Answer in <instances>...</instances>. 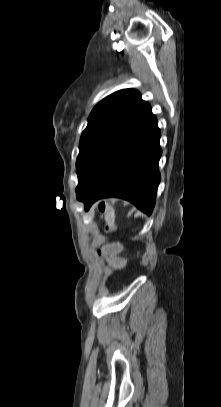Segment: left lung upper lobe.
Listing matches in <instances>:
<instances>
[{
    "label": "left lung upper lobe",
    "mask_w": 221,
    "mask_h": 407,
    "mask_svg": "<svg viewBox=\"0 0 221 407\" xmlns=\"http://www.w3.org/2000/svg\"><path fill=\"white\" fill-rule=\"evenodd\" d=\"M145 103L138 91L123 89L107 96L95 106L80 139L79 155L76 160L78 175L76 192Z\"/></svg>",
    "instance_id": "1"
}]
</instances>
